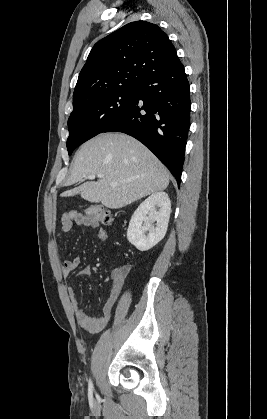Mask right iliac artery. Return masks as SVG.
I'll list each match as a JSON object with an SVG mask.
<instances>
[{
    "label": "right iliac artery",
    "mask_w": 267,
    "mask_h": 419,
    "mask_svg": "<svg viewBox=\"0 0 267 419\" xmlns=\"http://www.w3.org/2000/svg\"><path fill=\"white\" fill-rule=\"evenodd\" d=\"M93 383L91 380H89V384H88V390H89V394L91 395L93 392Z\"/></svg>",
    "instance_id": "obj_1"
}]
</instances>
